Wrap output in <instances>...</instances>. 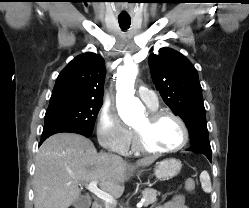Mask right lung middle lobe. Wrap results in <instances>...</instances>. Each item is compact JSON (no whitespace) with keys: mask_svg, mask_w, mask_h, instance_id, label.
<instances>
[{"mask_svg":"<svg viewBox=\"0 0 249 208\" xmlns=\"http://www.w3.org/2000/svg\"><path fill=\"white\" fill-rule=\"evenodd\" d=\"M101 106L102 101H78L48 107L44 127L61 126L91 135Z\"/></svg>","mask_w":249,"mask_h":208,"instance_id":"1","label":"right lung middle lobe"}]
</instances>
